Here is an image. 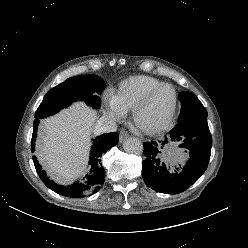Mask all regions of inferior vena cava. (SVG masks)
Here are the masks:
<instances>
[{"label": "inferior vena cava", "instance_id": "inferior-vena-cava-1", "mask_svg": "<svg viewBox=\"0 0 248 248\" xmlns=\"http://www.w3.org/2000/svg\"><path fill=\"white\" fill-rule=\"evenodd\" d=\"M117 130L116 122L109 117H101L95 126L96 134L115 132Z\"/></svg>", "mask_w": 248, "mask_h": 248}]
</instances>
